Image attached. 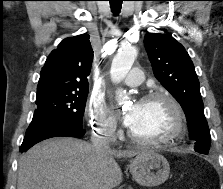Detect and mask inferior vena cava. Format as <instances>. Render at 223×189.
Returning a JSON list of instances; mask_svg holds the SVG:
<instances>
[{
  "mask_svg": "<svg viewBox=\"0 0 223 189\" xmlns=\"http://www.w3.org/2000/svg\"><path fill=\"white\" fill-rule=\"evenodd\" d=\"M99 134L93 133L91 136L92 146L95 148L96 152H104L109 149L111 131H106L103 129L99 130Z\"/></svg>",
  "mask_w": 223,
  "mask_h": 189,
  "instance_id": "obj_1",
  "label": "inferior vena cava"
}]
</instances>
